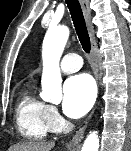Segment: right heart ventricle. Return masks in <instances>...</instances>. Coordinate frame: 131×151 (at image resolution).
<instances>
[{
    "instance_id": "1",
    "label": "right heart ventricle",
    "mask_w": 131,
    "mask_h": 151,
    "mask_svg": "<svg viewBox=\"0 0 131 151\" xmlns=\"http://www.w3.org/2000/svg\"><path fill=\"white\" fill-rule=\"evenodd\" d=\"M48 107L31 89L21 93L16 108V125L24 138L42 140L53 131L48 119Z\"/></svg>"
}]
</instances>
